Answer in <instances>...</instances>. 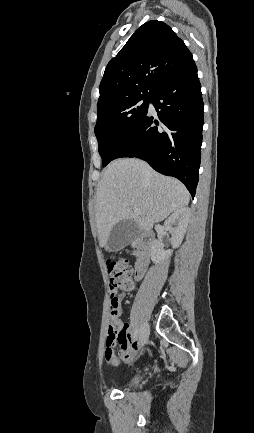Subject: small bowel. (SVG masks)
Returning <instances> with one entry per match:
<instances>
[{"mask_svg": "<svg viewBox=\"0 0 254 433\" xmlns=\"http://www.w3.org/2000/svg\"><path fill=\"white\" fill-rule=\"evenodd\" d=\"M114 294L117 297L119 302L124 297V293L119 292L118 290H116ZM121 311L122 309L119 305V312ZM120 325H121V335L118 341L119 344L118 353L115 352H112L110 354L105 353V360L111 366H117L120 363H124V364L131 363L134 360L133 352L137 347L136 340L130 332V325L128 323H122V322H120Z\"/></svg>", "mask_w": 254, "mask_h": 433, "instance_id": "obj_1", "label": "small bowel"}]
</instances>
